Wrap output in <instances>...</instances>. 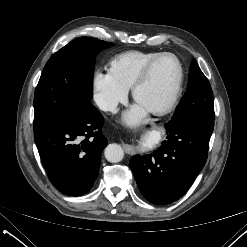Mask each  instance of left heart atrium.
Here are the masks:
<instances>
[{
  "label": "left heart atrium",
  "instance_id": "39dd6f15",
  "mask_svg": "<svg viewBox=\"0 0 247 247\" xmlns=\"http://www.w3.org/2000/svg\"><path fill=\"white\" fill-rule=\"evenodd\" d=\"M146 112V109L141 105H135L125 113L124 121L127 124H136L146 115Z\"/></svg>",
  "mask_w": 247,
  "mask_h": 247
}]
</instances>
